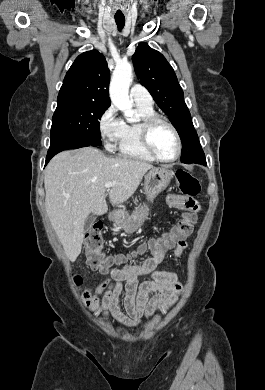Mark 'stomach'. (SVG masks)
<instances>
[{
	"instance_id": "1",
	"label": "stomach",
	"mask_w": 265,
	"mask_h": 390,
	"mask_svg": "<svg viewBox=\"0 0 265 390\" xmlns=\"http://www.w3.org/2000/svg\"><path fill=\"white\" fill-rule=\"evenodd\" d=\"M174 173L165 168H153L145 175L144 193L148 201L160 194L169 185ZM149 208L146 204L138 207L131 215L118 214L114 221L125 232L133 233L136 231L147 219Z\"/></svg>"
}]
</instances>
